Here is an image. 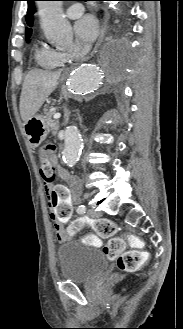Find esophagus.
Wrapping results in <instances>:
<instances>
[{"label": "esophagus", "mask_w": 183, "mask_h": 329, "mask_svg": "<svg viewBox=\"0 0 183 329\" xmlns=\"http://www.w3.org/2000/svg\"><path fill=\"white\" fill-rule=\"evenodd\" d=\"M94 8H97V4H93ZM106 30H107V19L106 18H103L102 19V23H101V27H100V33H99V37H98V40L93 48V50L91 51L90 54H88L84 60H88L90 59L91 57L94 56V54L97 52L98 48L100 47L101 43L103 42L104 40V37H105V34H106Z\"/></svg>", "instance_id": "obj_1"}]
</instances>
